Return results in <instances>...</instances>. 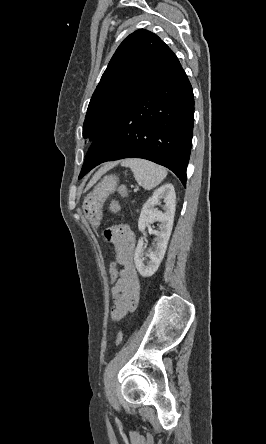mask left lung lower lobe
<instances>
[{"instance_id":"1","label":"left lung lower lobe","mask_w":266,"mask_h":444,"mask_svg":"<svg viewBox=\"0 0 266 444\" xmlns=\"http://www.w3.org/2000/svg\"><path fill=\"white\" fill-rule=\"evenodd\" d=\"M193 122V91L179 65L104 128L79 177L106 161L143 158L169 168L185 186Z\"/></svg>"}]
</instances>
